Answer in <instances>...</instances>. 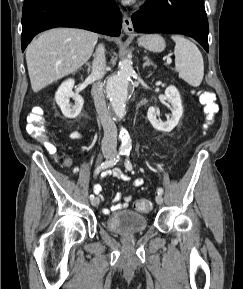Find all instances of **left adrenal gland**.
<instances>
[{"label": "left adrenal gland", "instance_id": "a2214340", "mask_svg": "<svg viewBox=\"0 0 243 289\" xmlns=\"http://www.w3.org/2000/svg\"><path fill=\"white\" fill-rule=\"evenodd\" d=\"M144 60L145 62L143 63V68H145L146 66H150V65L156 67L155 64L149 59L148 56L144 57Z\"/></svg>", "mask_w": 243, "mask_h": 289}]
</instances>
